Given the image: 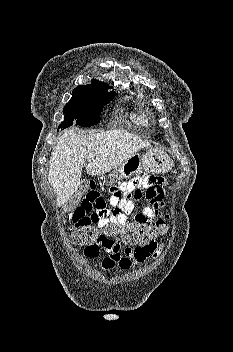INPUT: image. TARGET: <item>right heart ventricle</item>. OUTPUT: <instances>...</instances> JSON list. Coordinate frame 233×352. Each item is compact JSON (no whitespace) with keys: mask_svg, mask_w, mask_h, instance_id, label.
I'll return each mask as SVG.
<instances>
[{"mask_svg":"<svg viewBox=\"0 0 233 352\" xmlns=\"http://www.w3.org/2000/svg\"><path fill=\"white\" fill-rule=\"evenodd\" d=\"M132 117L139 124H146L147 122L146 116L143 113L133 114Z\"/></svg>","mask_w":233,"mask_h":352,"instance_id":"obj_1","label":"right heart ventricle"}]
</instances>
